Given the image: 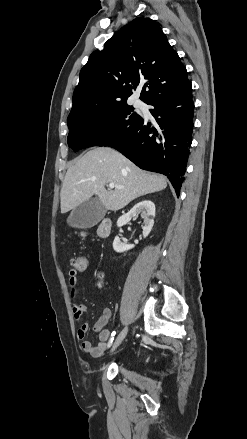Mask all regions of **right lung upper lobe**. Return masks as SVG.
Here are the masks:
<instances>
[{"mask_svg": "<svg viewBox=\"0 0 247 439\" xmlns=\"http://www.w3.org/2000/svg\"><path fill=\"white\" fill-rule=\"evenodd\" d=\"M143 83L140 99L147 103L161 94L185 87L190 81L160 24L138 17L110 38L103 50L90 55L80 71L68 117L125 101Z\"/></svg>", "mask_w": 247, "mask_h": 439, "instance_id": "cb5924a9", "label": "right lung upper lobe"}]
</instances>
